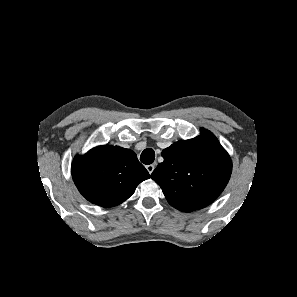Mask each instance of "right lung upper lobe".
Masks as SVG:
<instances>
[{
    "mask_svg": "<svg viewBox=\"0 0 297 297\" xmlns=\"http://www.w3.org/2000/svg\"><path fill=\"white\" fill-rule=\"evenodd\" d=\"M72 177L88 201L113 207L132 196L137 185L150 175L134 151L103 145L74 158Z\"/></svg>",
    "mask_w": 297,
    "mask_h": 297,
    "instance_id": "1",
    "label": "right lung upper lobe"
}]
</instances>
